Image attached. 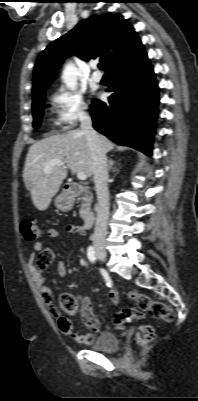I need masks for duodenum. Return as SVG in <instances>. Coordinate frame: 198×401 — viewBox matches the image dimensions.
Listing matches in <instances>:
<instances>
[{"label":"duodenum","instance_id":"duodenum-1","mask_svg":"<svg viewBox=\"0 0 198 401\" xmlns=\"http://www.w3.org/2000/svg\"><path fill=\"white\" fill-rule=\"evenodd\" d=\"M69 199H74L80 196L82 193L88 190L87 187L80 184H70L66 188ZM95 221V214L93 212H88L83 219V227L89 229Z\"/></svg>","mask_w":198,"mask_h":401}]
</instances>
